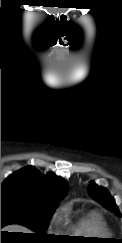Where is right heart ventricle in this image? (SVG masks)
<instances>
[{"label":"right heart ventricle","instance_id":"e07e8e85","mask_svg":"<svg viewBox=\"0 0 122 243\" xmlns=\"http://www.w3.org/2000/svg\"><path fill=\"white\" fill-rule=\"evenodd\" d=\"M65 217L68 219L70 211L65 209ZM69 232L84 237H103L109 235V230L104 219L96 212L81 214L71 224Z\"/></svg>","mask_w":122,"mask_h":243}]
</instances>
